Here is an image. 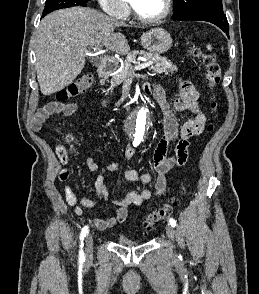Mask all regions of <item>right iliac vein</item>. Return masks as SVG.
Wrapping results in <instances>:
<instances>
[{
  "instance_id": "obj_1",
  "label": "right iliac vein",
  "mask_w": 259,
  "mask_h": 294,
  "mask_svg": "<svg viewBox=\"0 0 259 294\" xmlns=\"http://www.w3.org/2000/svg\"><path fill=\"white\" fill-rule=\"evenodd\" d=\"M92 252H93V237L92 235H88L85 242V257L87 261L92 259Z\"/></svg>"
}]
</instances>
